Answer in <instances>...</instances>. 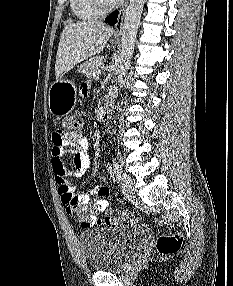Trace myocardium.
Instances as JSON below:
<instances>
[{"mask_svg": "<svg viewBox=\"0 0 233 286\" xmlns=\"http://www.w3.org/2000/svg\"><path fill=\"white\" fill-rule=\"evenodd\" d=\"M96 8L101 13H106L114 9L118 3L117 2H108L106 0H93Z\"/></svg>", "mask_w": 233, "mask_h": 286, "instance_id": "1", "label": "myocardium"}]
</instances>
